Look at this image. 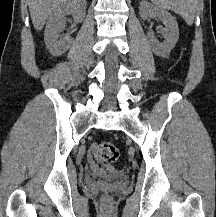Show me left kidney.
<instances>
[{
  "label": "left kidney",
  "instance_id": "obj_1",
  "mask_svg": "<svg viewBox=\"0 0 216 217\" xmlns=\"http://www.w3.org/2000/svg\"><path fill=\"white\" fill-rule=\"evenodd\" d=\"M139 13L142 19H147L150 16H154L161 20L165 25L163 29L164 41L159 43L153 32L148 33V42L153 52L160 57H167L170 51L175 47L179 39V28L175 17H173L169 12L154 7L150 3L143 1L139 6Z\"/></svg>",
  "mask_w": 216,
  "mask_h": 217
}]
</instances>
